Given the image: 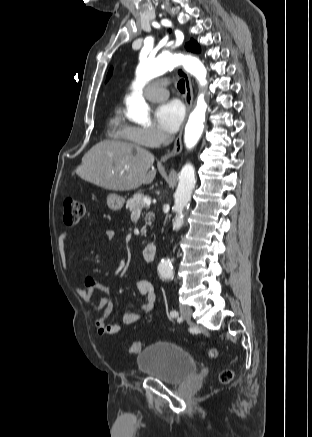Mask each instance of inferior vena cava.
<instances>
[{"mask_svg":"<svg viewBox=\"0 0 312 437\" xmlns=\"http://www.w3.org/2000/svg\"><path fill=\"white\" fill-rule=\"evenodd\" d=\"M170 141H171V136L167 135L165 145H167Z\"/></svg>","mask_w":312,"mask_h":437,"instance_id":"obj_1","label":"inferior vena cava"}]
</instances>
